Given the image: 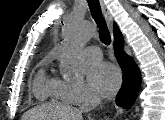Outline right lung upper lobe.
Instances as JSON below:
<instances>
[{
    "label": "right lung upper lobe",
    "instance_id": "obj_1",
    "mask_svg": "<svg viewBox=\"0 0 165 120\" xmlns=\"http://www.w3.org/2000/svg\"><path fill=\"white\" fill-rule=\"evenodd\" d=\"M122 34L116 24H114V40L122 38Z\"/></svg>",
    "mask_w": 165,
    "mask_h": 120
}]
</instances>
